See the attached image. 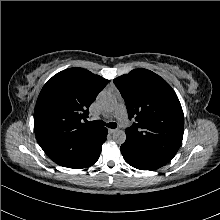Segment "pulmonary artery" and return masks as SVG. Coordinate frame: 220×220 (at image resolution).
Returning a JSON list of instances; mask_svg holds the SVG:
<instances>
[{
  "mask_svg": "<svg viewBox=\"0 0 220 220\" xmlns=\"http://www.w3.org/2000/svg\"><path fill=\"white\" fill-rule=\"evenodd\" d=\"M113 116L116 117L122 125H124V126L130 125L127 110H126V107L123 102H120L117 105Z\"/></svg>",
  "mask_w": 220,
  "mask_h": 220,
  "instance_id": "e3ab8cb5",
  "label": "pulmonary artery"
}]
</instances>
